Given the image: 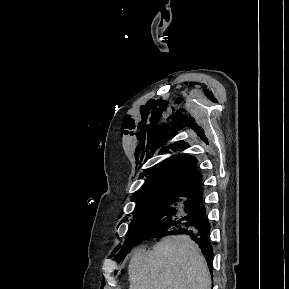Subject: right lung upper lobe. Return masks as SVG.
Wrapping results in <instances>:
<instances>
[{
	"label": "right lung upper lobe",
	"mask_w": 289,
	"mask_h": 289,
	"mask_svg": "<svg viewBox=\"0 0 289 289\" xmlns=\"http://www.w3.org/2000/svg\"><path fill=\"white\" fill-rule=\"evenodd\" d=\"M196 162V158L189 156L163 161L151 170L140 192V198L158 195H202V177Z\"/></svg>",
	"instance_id": "cb5924a9"
}]
</instances>
